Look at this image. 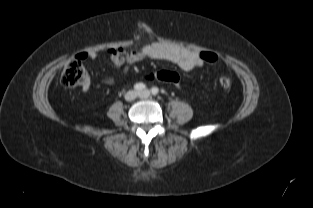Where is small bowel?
Returning <instances> with one entry per match:
<instances>
[{
  "label": "small bowel",
  "instance_id": "c3829d8e",
  "mask_svg": "<svg viewBox=\"0 0 313 208\" xmlns=\"http://www.w3.org/2000/svg\"><path fill=\"white\" fill-rule=\"evenodd\" d=\"M106 55L111 62L113 68L119 69L123 66L132 65L144 59L163 60L177 65L184 71H190L194 68H199L204 65V61L200 57V53L189 50L180 49L172 46H167L158 42L145 45L140 49L133 51H125L122 48L109 49ZM97 53L86 52L79 55L80 59H95ZM90 88V83L87 81L82 88L86 93Z\"/></svg>",
  "mask_w": 313,
  "mask_h": 208
}]
</instances>
